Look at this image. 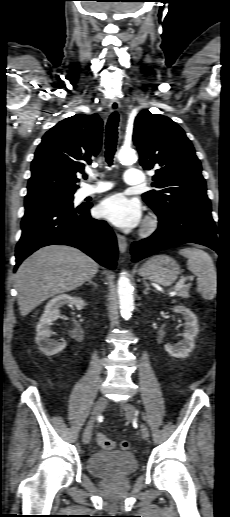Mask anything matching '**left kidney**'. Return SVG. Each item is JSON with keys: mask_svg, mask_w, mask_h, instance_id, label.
<instances>
[{"mask_svg": "<svg viewBox=\"0 0 230 517\" xmlns=\"http://www.w3.org/2000/svg\"><path fill=\"white\" fill-rule=\"evenodd\" d=\"M175 313H180L186 320L183 333V340L178 345L166 344L165 350L173 357L185 358L194 349V338L199 332L198 320L196 315L184 306H176L173 308Z\"/></svg>", "mask_w": 230, "mask_h": 517, "instance_id": "left-kidney-1", "label": "left kidney"}]
</instances>
